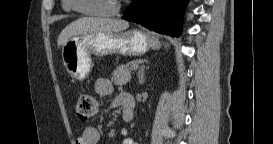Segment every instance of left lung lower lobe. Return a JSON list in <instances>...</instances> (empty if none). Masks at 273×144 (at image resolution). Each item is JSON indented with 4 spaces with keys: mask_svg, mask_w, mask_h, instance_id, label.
Here are the masks:
<instances>
[{
    "mask_svg": "<svg viewBox=\"0 0 273 144\" xmlns=\"http://www.w3.org/2000/svg\"><path fill=\"white\" fill-rule=\"evenodd\" d=\"M188 0H133L123 19L158 33L179 36Z\"/></svg>",
    "mask_w": 273,
    "mask_h": 144,
    "instance_id": "1",
    "label": "left lung lower lobe"
}]
</instances>
